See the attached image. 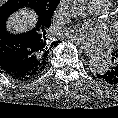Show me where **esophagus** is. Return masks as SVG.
<instances>
[{"label": "esophagus", "mask_w": 118, "mask_h": 118, "mask_svg": "<svg viewBox=\"0 0 118 118\" xmlns=\"http://www.w3.org/2000/svg\"><path fill=\"white\" fill-rule=\"evenodd\" d=\"M82 50V53L85 55V56H87V57H92L93 56V54L90 52V51H88V50H86V49H81Z\"/></svg>", "instance_id": "obj_1"}]
</instances>
